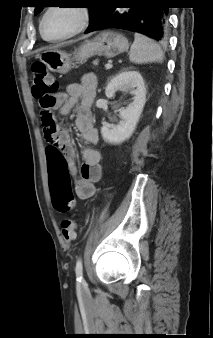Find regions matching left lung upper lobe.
<instances>
[{
  "mask_svg": "<svg viewBox=\"0 0 213 338\" xmlns=\"http://www.w3.org/2000/svg\"><path fill=\"white\" fill-rule=\"evenodd\" d=\"M101 1L102 0H90L88 3L91 4V6H89L88 8H90V20H91V23L96 19L99 11H100V8H101ZM42 6H37L35 7V13L34 15H37L41 10H42ZM90 23V24H91Z\"/></svg>",
  "mask_w": 213,
  "mask_h": 338,
  "instance_id": "1",
  "label": "left lung upper lobe"
}]
</instances>
